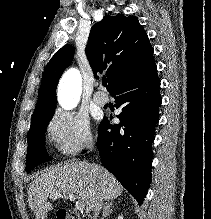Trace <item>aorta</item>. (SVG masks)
<instances>
[{"instance_id": "aorta-1", "label": "aorta", "mask_w": 211, "mask_h": 219, "mask_svg": "<svg viewBox=\"0 0 211 219\" xmlns=\"http://www.w3.org/2000/svg\"><path fill=\"white\" fill-rule=\"evenodd\" d=\"M81 75L77 69H69L61 78L58 87V101L62 108H74L81 95Z\"/></svg>"}]
</instances>
